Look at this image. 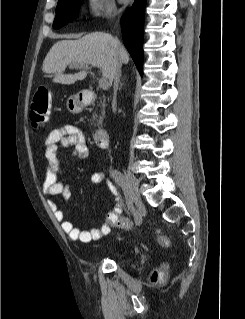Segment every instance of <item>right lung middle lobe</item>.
<instances>
[{"mask_svg":"<svg viewBox=\"0 0 245 319\" xmlns=\"http://www.w3.org/2000/svg\"><path fill=\"white\" fill-rule=\"evenodd\" d=\"M81 2L82 0H58L53 28L59 29L75 19Z\"/></svg>","mask_w":245,"mask_h":319,"instance_id":"obj_1","label":"right lung middle lobe"}]
</instances>
